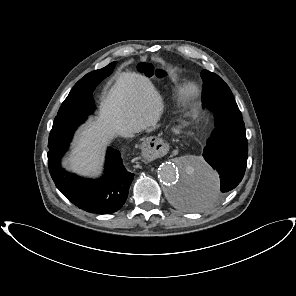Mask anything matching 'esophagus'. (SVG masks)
Returning a JSON list of instances; mask_svg holds the SVG:
<instances>
[{"label":"esophagus","mask_w":296,"mask_h":296,"mask_svg":"<svg viewBox=\"0 0 296 296\" xmlns=\"http://www.w3.org/2000/svg\"><path fill=\"white\" fill-rule=\"evenodd\" d=\"M167 147V143L162 138L151 136L142 142L141 150L146 157L159 159L166 154Z\"/></svg>","instance_id":"1"}]
</instances>
